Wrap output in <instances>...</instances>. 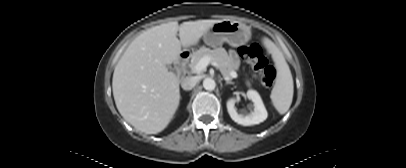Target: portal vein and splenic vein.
Segmentation results:
<instances>
[{
	"mask_svg": "<svg viewBox=\"0 0 406 168\" xmlns=\"http://www.w3.org/2000/svg\"><path fill=\"white\" fill-rule=\"evenodd\" d=\"M211 62V57L209 56H204L202 57L198 63L194 66V68L192 69L193 72L195 73H200L202 71H204L206 69V67L209 65V63ZM231 78H236L237 77V73L235 71H232L230 73ZM226 80H228L229 78L226 77Z\"/></svg>",
	"mask_w": 406,
	"mask_h": 168,
	"instance_id": "obj_1",
	"label": "portal vein and splenic vein"
}]
</instances>
